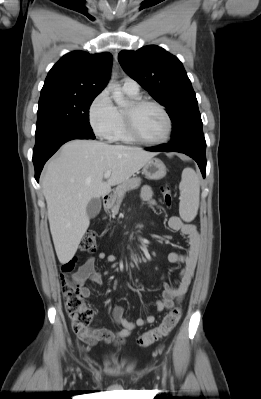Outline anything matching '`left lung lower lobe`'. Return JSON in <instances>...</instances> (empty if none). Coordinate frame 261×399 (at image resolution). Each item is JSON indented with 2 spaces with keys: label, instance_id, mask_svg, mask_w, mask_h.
I'll use <instances>...</instances> for the list:
<instances>
[{
  "label": "left lung lower lobe",
  "instance_id": "1",
  "mask_svg": "<svg viewBox=\"0 0 261 399\" xmlns=\"http://www.w3.org/2000/svg\"><path fill=\"white\" fill-rule=\"evenodd\" d=\"M147 151H165V152H180L184 153L191 158H193L201 172L203 177H205V172H206V156H205V151H206V142L205 139H201L199 141H192V142H186L183 144H162L160 146L152 147V148H146Z\"/></svg>",
  "mask_w": 261,
  "mask_h": 399
}]
</instances>
